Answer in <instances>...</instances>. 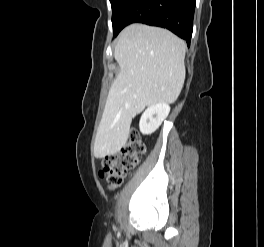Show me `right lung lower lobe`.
<instances>
[{
  "label": "right lung lower lobe",
  "instance_id": "98d812e1",
  "mask_svg": "<svg viewBox=\"0 0 264 247\" xmlns=\"http://www.w3.org/2000/svg\"><path fill=\"white\" fill-rule=\"evenodd\" d=\"M196 0H130L117 20L114 36L127 25L167 28L190 45Z\"/></svg>",
  "mask_w": 264,
  "mask_h": 247
}]
</instances>
